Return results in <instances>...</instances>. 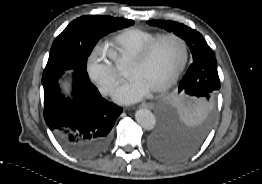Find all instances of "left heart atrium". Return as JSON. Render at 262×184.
Returning a JSON list of instances; mask_svg holds the SVG:
<instances>
[{
  "label": "left heart atrium",
  "instance_id": "obj_1",
  "mask_svg": "<svg viewBox=\"0 0 262 184\" xmlns=\"http://www.w3.org/2000/svg\"><path fill=\"white\" fill-rule=\"evenodd\" d=\"M150 90L139 78L131 77L114 91L113 98L119 103H134L147 96Z\"/></svg>",
  "mask_w": 262,
  "mask_h": 184
}]
</instances>
